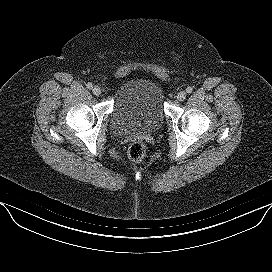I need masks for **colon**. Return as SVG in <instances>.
I'll use <instances>...</instances> for the list:
<instances>
[{
	"instance_id": "1",
	"label": "colon",
	"mask_w": 272,
	"mask_h": 272,
	"mask_svg": "<svg viewBox=\"0 0 272 272\" xmlns=\"http://www.w3.org/2000/svg\"><path fill=\"white\" fill-rule=\"evenodd\" d=\"M128 155L133 162L142 163L146 155L145 145L140 141L132 143L128 149Z\"/></svg>"
}]
</instances>
